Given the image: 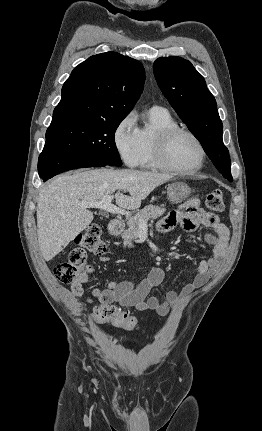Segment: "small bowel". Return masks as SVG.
<instances>
[{"instance_id":"small-bowel-1","label":"small bowel","mask_w":262,"mask_h":431,"mask_svg":"<svg viewBox=\"0 0 262 431\" xmlns=\"http://www.w3.org/2000/svg\"><path fill=\"white\" fill-rule=\"evenodd\" d=\"M199 206V199H191L184 203L183 207L194 208L195 212L192 215H183L180 210H173L158 225L161 232H167L177 224H180L186 230H195L199 226L213 230V233L207 236L208 243L213 247V256L200 261L197 271L190 276V282L179 292H168L164 302L151 295L152 290L164 278V271L160 268H153L147 277L139 283L113 280L107 284L105 289L92 287V296L87 298L86 302L88 304H92L94 300L98 302L94 308L96 314L106 315L110 310L131 307L139 311L153 310L159 316L165 317L171 309L178 308L225 264L229 248V230L226 225L219 221L215 214L207 212ZM104 260L107 261L108 258H104ZM71 292L74 296L80 297L83 295L84 289L77 286L73 287Z\"/></svg>"}]
</instances>
